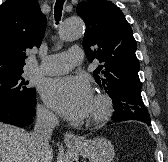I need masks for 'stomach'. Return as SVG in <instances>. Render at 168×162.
<instances>
[{
    "instance_id": "1",
    "label": "stomach",
    "mask_w": 168,
    "mask_h": 162,
    "mask_svg": "<svg viewBox=\"0 0 168 162\" xmlns=\"http://www.w3.org/2000/svg\"><path fill=\"white\" fill-rule=\"evenodd\" d=\"M69 147L91 162H112L115 155L114 147L111 142L102 137L86 140L80 147Z\"/></svg>"
}]
</instances>
